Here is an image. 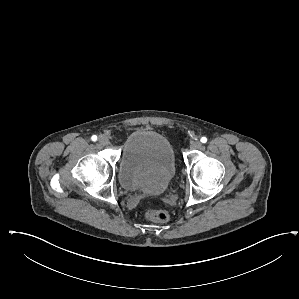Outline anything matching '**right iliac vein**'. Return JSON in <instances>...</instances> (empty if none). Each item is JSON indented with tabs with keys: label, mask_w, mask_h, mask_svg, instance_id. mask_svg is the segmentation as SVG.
Wrapping results in <instances>:
<instances>
[{
	"label": "right iliac vein",
	"mask_w": 299,
	"mask_h": 299,
	"mask_svg": "<svg viewBox=\"0 0 299 299\" xmlns=\"http://www.w3.org/2000/svg\"><path fill=\"white\" fill-rule=\"evenodd\" d=\"M98 142H99L100 145H103V146H106L110 143L109 139L104 135L99 136Z\"/></svg>",
	"instance_id": "obj_1"
}]
</instances>
